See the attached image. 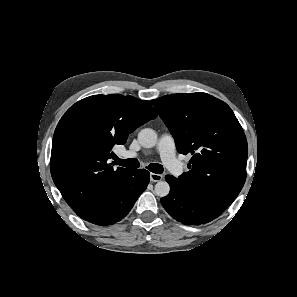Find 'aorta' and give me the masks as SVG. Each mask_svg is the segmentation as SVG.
Wrapping results in <instances>:
<instances>
[{
    "label": "aorta",
    "mask_w": 297,
    "mask_h": 297,
    "mask_svg": "<svg viewBox=\"0 0 297 297\" xmlns=\"http://www.w3.org/2000/svg\"><path fill=\"white\" fill-rule=\"evenodd\" d=\"M138 141L144 148H152L157 142V134L153 129L144 128L138 133ZM170 186L166 181H158L154 192L159 197H165L169 194Z\"/></svg>",
    "instance_id": "1"
}]
</instances>
